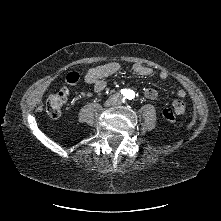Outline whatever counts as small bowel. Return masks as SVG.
Wrapping results in <instances>:
<instances>
[{
	"label": "small bowel",
	"mask_w": 221,
	"mask_h": 221,
	"mask_svg": "<svg viewBox=\"0 0 221 221\" xmlns=\"http://www.w3.org/2000/svg\"><path fill=\"white\" fill-rule=\"evenodd\" d=\"M120 69V65L117 62H110L95 68L88 70L84 76V79L87 83L93 85L96 92H100L105 87L104 79L110 75L115 74ZM132 72L138 76H150L153 74L154 70L142 63H135L132 67ZM161 79L165 80L169 77V73L166 70H161L159 73ZM177 99L174 100V107L185 108L184 102L182 99L185 97V91L183 89H178ZM144 95L148 99H155L158 96V91L154 88H147L144 91Z\"/></svg>",
	"instance_id": "c3829d8e"
}]
</instances>
